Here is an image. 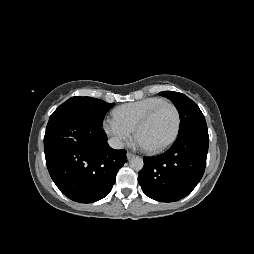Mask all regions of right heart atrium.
<instances>
[{"instance_id": "right-heart-atrium-1", "label": "right heart atrium", "mask_w": 254, "mask_h": 254, "mask_svg": "<svg viewBox=\"0 0 254 254\" xmlns=\"http://www.w3.org/2000/svg\"><path fill=\"white\" fill-rule=\"evenodd\" d=\"M103 130L115 147L124 146L134 136V129L121 122L114 115L104 119Z\"/></svg>"}]
</instances>
